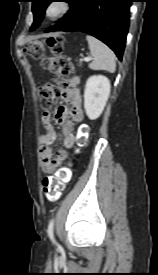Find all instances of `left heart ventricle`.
Returning a JSON list of instances; mask_svg holds the SVG:
<instances>
[{
    "label": "left heart ventricle",
    "mask_w": 158,
    "mask_h": 275,
    "mask_svg": "<svg viewBox=\"0 0 158 275\" xmlns=\"http://www.w3.org/2000/svg\"><path fill=\"white\" fill-rule=\"evenodd\" d=\"M57 9H53V12H55Z\"/></svg>",
    "instance_id": "1"
}]
</instances>
